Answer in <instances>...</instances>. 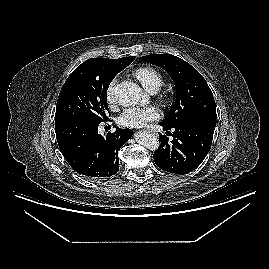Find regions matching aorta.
I'll return each instance as SVG.
<instances>
[{"label": "aorta", "mask_w": 269, "mask_h": 269, "mask_svg": "<svg viewBox=\"0 0 269 269\" xmlns=\"http://www.w3.org/2000/svg\"><path fill=\"white\" fill-rule=\"evenodd\" d=\"M113 94L118 103L124 107L136 105L143 97L141 87L131 81L117 84L114 87ZM135 140L143 147L152 151L157 150L160 146L158 137L149 131H139L135 135Z\"/></svg>", "instance_id": "aorta-1"}]
</instances>
